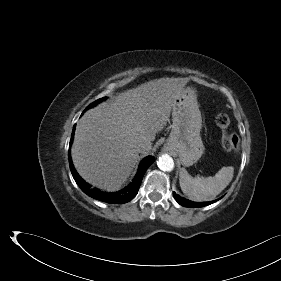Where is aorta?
Returning <instances> with one entry per match:
<instances>
[{
    "label": "aorta",
    "instance_id": "762f6f07",
    "mask_svg": "<svg viewBox=\"0 0 281 281\" xmlns=\"http://www.w3.org/2000/svg\"><path fill=\"white\" fill-rule=\"evenodd\" d=\"M157 165L163 171H171L174 168V161L168 154H163L159 157Z\"/></svg>",
    "mask_w": 281,
    "mask_h": 281
}]
</instances>
